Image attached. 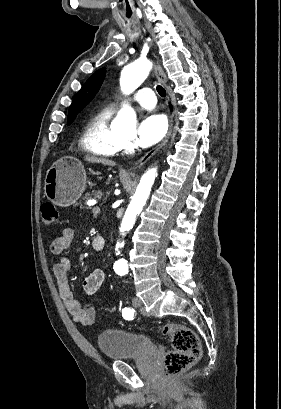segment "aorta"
I'll return each mask as SVG.
<instances>
[{
  "label": "aorta",
  "mask_w": 281,
  "mask_h": 409,
  "mask_svg": "<svg viewBox=\"0 0 281 409\" xmlns=\"http://www.w3.org/2000/svg\"><path fill=\"white\" fill-rule=\"evenodd\" d=\"M152 63L149 60L141 59L124 67L121 72L120 85L124 94L129 95L136 90L147 78ZM136 113L129 107H123L117 114L113 122V128L117 131H134L136 129ZM157 169H148L137 186L135 194L125 212L122 220L121 230H127L133 227L136 216L141 213L149 197Z\"/></svg>",
  "instance_id": "aorta-1"
}]
</instances>
